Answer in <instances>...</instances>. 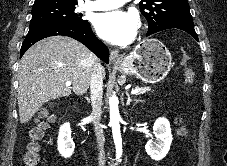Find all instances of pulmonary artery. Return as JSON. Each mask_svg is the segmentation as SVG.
I'll list each match as a JSON object with an SVG mask.
<instances>
[{"instance_id":"1","label":"pulmonary artery","mask_w":227,"mask_h":166,"mask_svg":"<svg viewBox=\"0 0 227 166\" xmlns=\"http://www.w3.org/2000/svg\"><path fill=\"white\" fill-rule=\"evenodd\" d=\"M130 0H92L83 5V8L90 11L112 10L123 6Z\"/></svg>"}]
</instances>
